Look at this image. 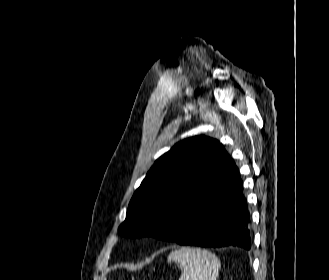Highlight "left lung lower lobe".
Returning a JSON list of instances; mask_svg holds the SVG:
<instances>
[{"label": "left lung lower lobe", "instance_id": "0a47b994", "mask_svg": "<svg viewBox=\"0 0 329 280\" xmlns=\"http://www.w3.org/2000/svg\"><path fill=\"white\" fill-rule=\"evenodd\" d=\"M243 183L233 162L217 190H209L184 217L161 232V239L180 245L251 248L250 218Z\"/></svg>", "mask_w": 329, "mask_h": 280}]
</instances>
